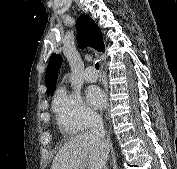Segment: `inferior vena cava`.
I'll return each instance as SVG.
<instances>
[{"instance_id": "obj_1", "label": "inferior vena cava", "mask_w": 177, "mask_h": 169, "mask_svg": "<svg viewBox=\"0 0 177 169\" xmlns=\"http://www.w3.org/2000/svg\"><path fill=\"white\" fill-rule=\"evenodd\" d=\"M91 134L94 135L96 138H99L102 142H105V130L103 125V120L100 116H93L91 118ZM104 169H107L104 166Z\"/></svg>"}]
</instances>
